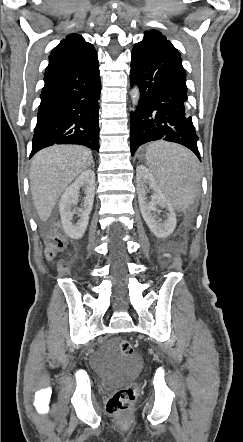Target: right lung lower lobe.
<instances>
[{
    "mask_svg": "<svg viewBox=\"0 0 243 442\" xmlns=\"http://www.w3.org/2000/svg\"><path fill=\"white\" fill-rule=\"evenodd\" d=\"M30 157L54 144H79L99 151L101 83L96 51L47 68Z\"/></svg>",
    "mask_w": 243,
    "mask_h": 442,
    "instance_id": "right-lung-lower-lobe-1",
    "label": "right lung lower lobe"
}]
</instances>
